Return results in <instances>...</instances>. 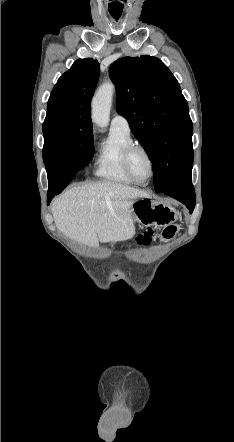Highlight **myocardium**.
<instances>
[{
    "label": "myocardium",
    "mask_w": 234,
    "mask_h": 442,
    "mask_svg": "<svg viewBox=\"0 0 234 442\" xmlns=\"http://www.w3.org/2000/svg\"><path fill=\"white\" fill-rule=\"evenodd\" d=\"M136 149L142 150L147 155L149 162H150L151 175H150L149 179L145 182L138 180L135 177V175L133 174L131 167H130V156H131L132 152ZM123 167H124L126 174L129 176V178L134 183L139 184V185H147L148 183H150V181L154 178L155 172H156L155 161H154V158H153L151 152L148 150L147 147H145L142 144H138V143L130 144L129 146H127L125 148L124 153H123Z\"/></svg>",
    "instance_id": "1"
}]
</instances>
